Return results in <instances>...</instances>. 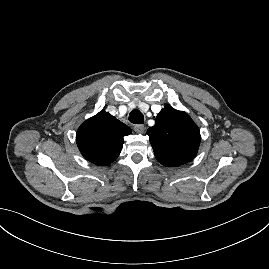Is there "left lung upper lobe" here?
<instances>
[{"label": "left lung upper lobe", "mask_w": 269, "mask_h": 269, "mask_svg": "<svg viewBox=\"0 0 269 269\" xmlns=\"http://www.w3.org/2000/svg\"><path fill=\"white\" fill-rule=\"evenodd\" d=\"M156 159L167 167L185 164L197 154L200 131L190 116L170 106L163 108L147 130Z\"/></svg>", "instance_id": "1"}]
</instances>
